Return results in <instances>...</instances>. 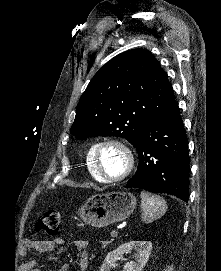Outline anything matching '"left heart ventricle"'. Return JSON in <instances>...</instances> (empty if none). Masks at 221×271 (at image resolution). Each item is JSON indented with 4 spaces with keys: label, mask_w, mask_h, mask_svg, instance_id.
Returning <instances> with one entry per match:
<instances>
[{
    "label": "left heart ventricle",
    "mask_w": 221,
    "mask_h": 271,
    "mask_svg": "<svg viewBox=\"0 0 221 271\" xmlns=\"http://www.w3.org/2000/svg\"><path fill=\"white\" fill-rule=\"evenodd\" d=\"M103 157L100 163H103L102 169L108 177H121L122 169H126L121 161L123 152H119V147H102Z\"/></svg>",
    "instance_id": "b2bd125f"
}]
</instances>
